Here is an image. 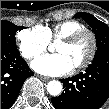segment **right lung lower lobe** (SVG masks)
Wrapping results in <instances>:
<instances>
[{
  "mask_svg": "<svg viewBox=\"0 0 109 109\" xmlns=\"http://www.w3.org/2000/svg\"><path fill=\"white\" fill-rule=\"evenodd\" d=\"M33 74L18 51L1 48V109L13 105L24 81Z\"/></svg>",
  "mask_w": 109,
  "mask_h": 109,
  "instance_id": "1",
  "label": "right lung lower lobe"
}]
</instances>
